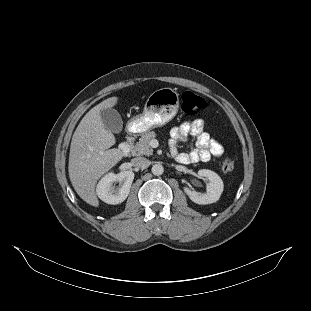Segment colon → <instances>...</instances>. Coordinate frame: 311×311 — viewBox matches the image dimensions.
Segmentation results:
<instances>
[{
  "label": "colon",
  "instance_id": "1",
  "mask_svg": "<svg viewBox=\"0 0 311 311\" xmlns=\"http://www.w3.org/2000/svg\"><path fill=\"white\" fill-rule=\"evenodd\" d=\"M206 107L205 100L196 95L193 92L186 91L182 95V104L181 109L184 114L188 116H193L201 111H203ZM235 162L231 157H227L222 162V169L225 172H230L234 169Z\"/></svg>",
  "mask_w": 311,
  "mask_h": 311
}]
</instances>
